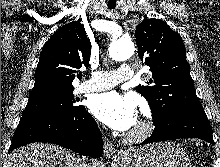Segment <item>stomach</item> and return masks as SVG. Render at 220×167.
<instances>
[{
  "instance_id": "obj_1",
  "label": "stomach",
  "mask_w": 220,
  "mask_h": 167,
  "mask_svg": "<svg viewBox=\"0 0 220 167\" xmlns=\"http://www.w3.org/2000/svg\"><path fill=\"white\" fill-rule=\"evenodd\" d=\"M116 162L119 167H192L185 150L172 142L127 150Z\"/></svg>"
}]
</instances>
